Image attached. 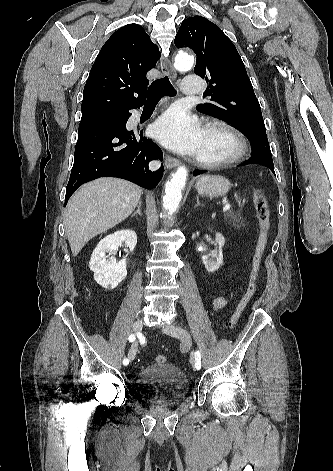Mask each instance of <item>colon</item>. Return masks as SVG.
<instances>
[{"label":"colon","mask_w":333,"mask_h":471,"mask_svg":"<svg viewBox=\"0 0 333 471\" xmlns=\"http://www.w3.org/2000/svg\"><path fill=\"white\" fill-rule=\"evenodd\" d=\"M252 199L256 211V217L260 225V232L252 257V266L249 282L242 299L237 305L234 314L226 323V326L228 328H233L237 324L243 310L254 296L261 260L268 242V234L270 230V210L268 208L267 201L260 190H254ZM155 360L157 363H164L166 362V357L162 354H159L155 357Z\"/></svg>","instance_id":"obj_1"}]
</instances>
